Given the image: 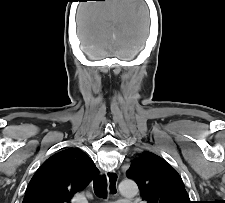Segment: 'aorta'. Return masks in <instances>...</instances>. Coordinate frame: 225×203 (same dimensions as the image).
Listing matches in <instances>:
<instances>
[{"label":"aorta","instance_id":"aorta-1","mask_svg":"<svg viewBox=\"0 0 225 203\" xmlns=\"http://www.w3.org/2000/svg\"><path fill=\"white\" fill-rule=\"evenodd\" d=\"M119 192L123 196H134L138 192L137 184L133 180H122L118 186Z\"/></svg>","mask_w":225,"mask_h":203}]
</instances>
